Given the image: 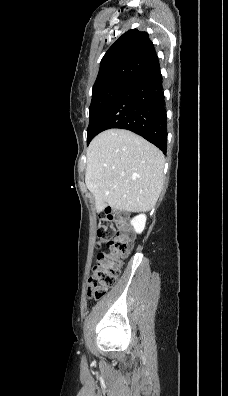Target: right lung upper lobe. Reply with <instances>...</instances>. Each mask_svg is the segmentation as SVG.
Listing matches in <instances>:
<instances>
[{
	"mask_svg": "<svg viewBox=\"0 0 228 396\" xmlns=\"http://www.w3.org/2000/svg\"><path fill=\"white\" fill-rule=\"evenodd\" d=\"M158 59L146 32L132 29L124 33L105 53L93 86L109 83H131Z\"/></svg>",
	"mask_w": 228,
	"mask_h": 396,
	"instance_id": "obj_1",
	"label": "right lung upper lobe"
}]
</instances>
